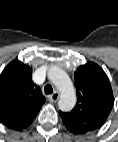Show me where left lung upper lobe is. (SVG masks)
I'll return each mask as SVG.
<instances>
[{
	"label": "left lung upper lobe",
	"mask_w": 118,
	"mask_h": 142,
	"mask_svg": "<svg viewBox=\"0 0 118 142\" xmlns=\"http://www.w3.org/2000/svg\"><path fill=\"white\" fill-rule=\"evenodd\" d=\"M77 104L71 112H59L66 128L75 134L99 129L110 114L114 97L103 69L93 62L80 66L74 73Z\"/></svg>",
	"instance_id": "5c2ea615"
}]
</instances>
